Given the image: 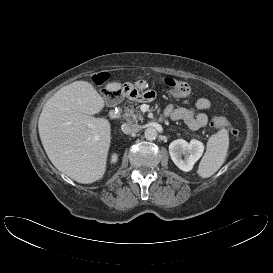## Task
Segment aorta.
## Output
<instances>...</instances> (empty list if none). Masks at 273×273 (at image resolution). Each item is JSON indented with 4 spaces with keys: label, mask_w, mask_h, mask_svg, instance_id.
I'll use <instances>...</instances> for the list:
<instances>
[{
    "label": "aorta",
    "mask_w": 273,
    "mask_h": 273,
    "mask_svg": "<svg viewBox=\"0 0 273 273\" xmlns=\"http://www.w3.org/2000/svg\"><path fill=\"white\" fill-rule=\"evenodd\" d=\"M144 135L147 140L151 141L157 138L158 133L156 129L150 127L145 130Z\"/></svg>",
    "instance_id": "obj_1"
}]
</instances>
